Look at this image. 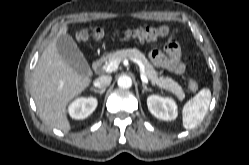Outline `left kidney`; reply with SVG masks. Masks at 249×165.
<instances>
[{
    "label": "left kidney",
    "instance_id": "left-kidney-1",
    "mask_svg": "<svg viewBox=\"0 0 249 165\" xmlns=\"http://www.w3.org/2000/svg\"><path fill=\"white\" fill-rule=\"evenodd\" d=\"M147 106L152 115L161 120H175L178 116L177 105L172 98L150 95Z\"/></svg>",
    "mask_w": 249,
    "mask_h": 165
}]
</instances>
